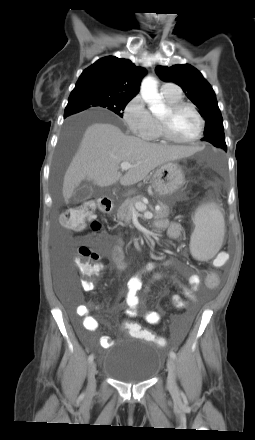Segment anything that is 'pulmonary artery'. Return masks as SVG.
<instances>
[{
  "label": "pulmonary artery",
  "mask_w": 255,
  "mask_h": 440,
  "mask_svg": "<svg viewBox=\"0 0 255 440\" xmlns=\"http://www.w3.org/2000/svg\"><path fill=\"white\" fill-rule=\"evenodd\" d=\"M161 91L163 92V93H180V90L179 89H177L173 84H171V83H164L162 86H161Z\"/></svg>",
  "instance_id": "pulmonary-artery-1"
}]
</instances>
